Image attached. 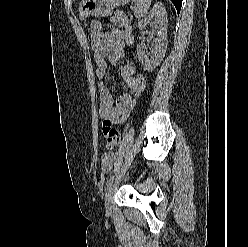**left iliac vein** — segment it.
<instances>
[{
  "label": "left iliac vein",
  "instance_id": "1",
  "mask_svg": "<svg viewBox=\"0 0 248 247\" xmlns=\"http://www.w3.org/2000/svg\"><path fill=\"white\" fill-rule=\"evenodd\" d=\"M115 186H116V180L113 179L110 181L109 185L106 188L105 206H106L107 212H110L112 209L111 202H112V197L114 194Z\"/></svg>",
  "mask_w": 248,
  "mask_h": 247
}]
</instances>
